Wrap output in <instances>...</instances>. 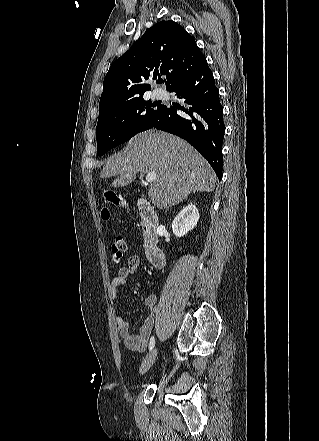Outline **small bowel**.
Listing matches in <instances>:
<instances>
[{
	"label": "small bowel",
	"instance_id": "obj_1",
	"mask_svg": "<svg viewBox=\"0 0 319 441\" xmlns=\"http://www.w3.org/2000/svg\"><path fill=\"white\" fill-rule=\"evenodd\" d=\"M140 265V258L138 256H131L128 259L127 265L120 268L117 275L111 280L109 293L113 301L118 299L119 290L125 285L129 277L136 272ZM157 304V296L149 294L144 299V306L147 309V314L139 329V334L135 335L130 332L129 325L120 316L116 317V324L118 333L123 340L125 346L135 352H144L148 342L155 321V308ZM151 339V338H150Z\"/></svg>",
	"mask_w": 319,
	"mask_h": 441
}]
</instances>
